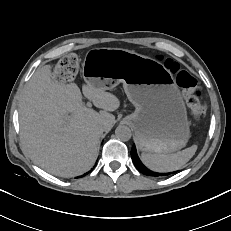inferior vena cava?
Returning <instances> with one entry per match:
<instances>
[{"label":"inferior vena cava","instance_id":"obj_1","mask_svg":"<svg viewBox=\"0 0 231 231\" xmlns=\"http://www.w3.org/2000/svg\"><path fill=\"white\" fill-rule=\"evenodd\" d=\"M99 128H100V129H103V128H104V125H103V124H100V125H99Z\"/></svg>","mask_w":231,"mask_h":231}]
</instances>
